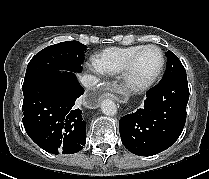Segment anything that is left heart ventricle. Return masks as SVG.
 <instances>
[{"mask_svg":"<svg viewBox=\"0 0 209 179\" xmlns=\"http://www.w3.org/2000/svg\"><path fill=\"white\" fill-rule=\"evenodd\" d=\"M161 64V55L157 49L150 48L144 51L137 60L132 78L136 82L144 81L152 77Z\"/></svg>","mask_w":209,"mask_h":179,"instance_id":"left-heart-ventricle-1","label":"left heart ventricle"}]
</instances>
